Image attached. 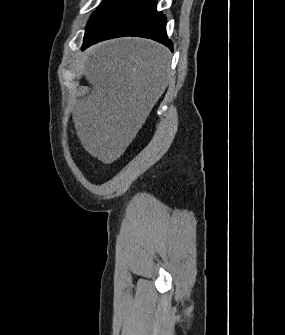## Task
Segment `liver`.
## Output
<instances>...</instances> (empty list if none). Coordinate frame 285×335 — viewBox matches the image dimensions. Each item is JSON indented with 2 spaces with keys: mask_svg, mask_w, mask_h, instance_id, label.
I'll return each instance as SVG.
<instances>
[{
  "mask_svg": "<svg viewBox=\"0 0 285 335\" xmlns=\"http://www.w3.org/2000/svg\"><path fill=\"white\" fill-rule=\"evenodd\" d=\"M170 58L165 46L143 38L108 40L82 52L94 90L77 104L73 122L93 158L112 164L123 156L167 88Z\"/></svg>",
  "mask_w": 285,
  "mask_h": 335,
  "instance_id": "liver-1",
  "label": "liver"
}]
</instances>
